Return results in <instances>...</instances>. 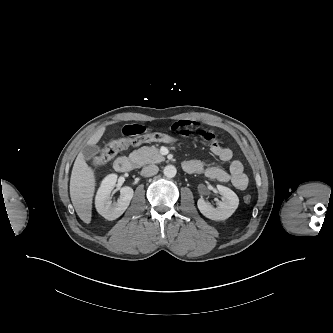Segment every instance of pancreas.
I'll return each mask as SVG.
<instances>
[{
	"mask_svg": "<svg viewBox=\"0 0 333 333\" xmlns=\"http://www.w3.org/2000/svg\"><path fill=\"white\" fill-rule=\"evenodd\" d=\"M129 158L139 167L145 164H155L165 161V157L160 154L159 149L155 146L141 147L134 150L129 155Z\"/></svg>",
	"mask_w": 333,
	"mask_h": 333,
	"instance_id": "cf45deb5",
	"label": "pancreas"
}]
</instances>
